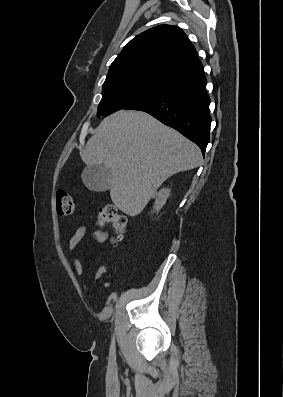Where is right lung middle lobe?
<instances>
[{"mask_svg":"<svg viewBox=\"0 0 283 397\" xmlns=\"http://www.w3.org/2000/svg\"><path fill=\"white\" fill-rule=\"evenodd\" d=\"M168 81L144 73L107 76L102 87L98 114L108 116L124 109Z\"/></svg>","mask_w":283,"mask_h":397,"instance_id":"right-lung-middle-lobe-1","label":"right lung middle lobe"}]
</instances>
